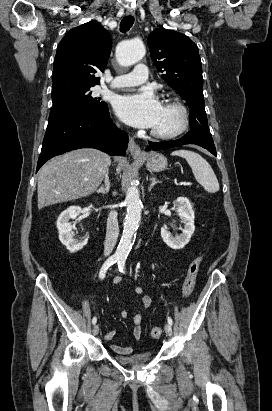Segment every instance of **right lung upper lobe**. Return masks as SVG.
Segmentation results:
<instances>
[{
    "mask_svg": "<svg viewBox=\"0 0 272 411\" xmlns=\"http://www.w3.org/2000/svg\"><path fill=\"white\" fill-rule=\"evenodd\" d=\"M111 46L109 33L96 21L71 29L57 48L52 99L99 85L100 79L94 74L104 71Z\"/></svg>",
    "mask_w": 272,
    "mask_h": 411,
    "instance_id": "right-lung-upper-lobe-1",
    "label": "right lung upper lobe"
}]
</instances>
